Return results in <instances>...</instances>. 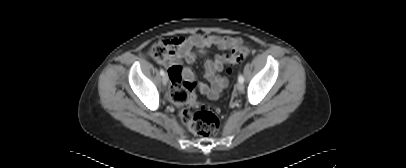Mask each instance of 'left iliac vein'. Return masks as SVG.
<instances>
[{
	"label": "left iliac vein",
	"instance_id": "left-iliac-vein-1",
	"mask_svg": "<svg viewBox=\"0 0 406 168\" xmlns=\"http://www.w3.org/2000/svg\"><path fill=\"white\" fill-rule=\"evenodd\" d=\"M236 88H237L238 91L242 92V91L244 90V85H243V83L238 82V83L236 84Z\"/></svg>",
	"mask_w": 406,
	"mask_h": 168
}]
</instances>
